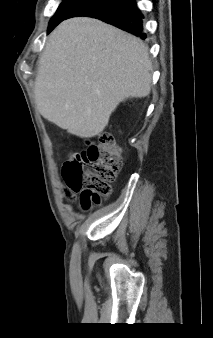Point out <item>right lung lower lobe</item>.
<instances>
[{"instance_id":"1","label":"right lung lower lobe","mask_w":213,"mask_h":338,"mask_svg":"<svg viewBox=\"0 0 213 338\" xmlns=\"http://www.w3.org/2000/svg\"><path fill=\"white\" fill-rule=\"evenodd\" d=\"M89 16L130 32L141 39L147 36L143 31V14L135 0H93L72 12L68 18Z\"/></svg>"}]
</instances>
